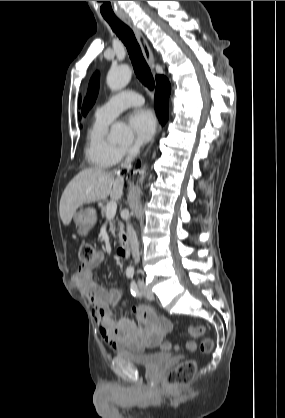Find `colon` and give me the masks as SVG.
<instances>
[{
  "mask_svg": "<svg viewBox=\"0 0 285 418\" xmlns=\"http://www.w3.org/2000/svg\"><path fill=\"white\" fill-rule=\"evenodd\" d=\"M79 260L84 264H90L96 261L98 254L96 249L91 244H82L79 248ZM188 333L193 338L202 337L205 333L204 326H190ZM214 345V340L210 336H204L200 342V350L203 353L211 351ZM163 349H177L176 345L164 343ZM197 363L195 360L189 359L175 366L166 376L165 386L179 387L188 384L195 375Z\"/></svg>",
  "mask_w": 285,
  "mask_h": 418,
  "instance_id": "1",
  "label": "colon"
}]
</instances>
